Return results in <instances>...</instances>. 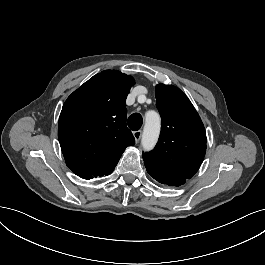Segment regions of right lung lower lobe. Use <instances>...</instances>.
Instances as JSON below:
<instances>
[{
  "mask_svg": "<svg viewBox=\"0 0 265 265\" xmlns=\"http://www.w3.org/2000/svg\"><path fill=\"white\" fill-rule=\"evenodd\" d=\"M74 173L76 175H78L79 177L84 178V179H87V180L92 179L94 177H98V176H95V175L90 174V173H77V172H74Z\"/></svg>",
  "mask_w": 265,
  "mask_h": 265,
  "instance_id": "1",
  "label": "right lung lower lobe"
}]
</instances>
